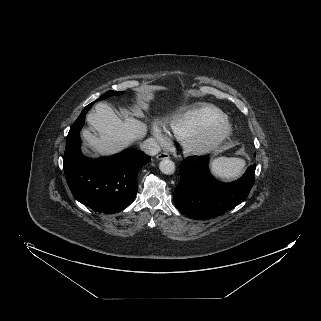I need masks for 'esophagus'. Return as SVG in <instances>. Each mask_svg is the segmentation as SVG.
<instances>
[{"instance_id":"1","label":"esophagus","mask_w":321,"mask_h":321,"mask_svg":"<svg viewBox=\"0 0 321 321\" xmlns=\"http://www.w3.org/2000/svg\"><path fill=\"white\" fill-rule=\"evenodd\" d=\"M156 158L158 160H162V159H168L169 158V155L167 153H160L156 156Z\"/></svg>"}]
</instances>
